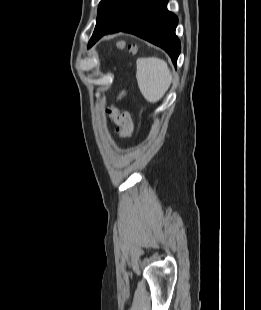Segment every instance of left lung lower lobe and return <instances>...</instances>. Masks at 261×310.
I'll return each instance as SVG.
<instances>
[{"mask_svg":"<svg viewBox=\"0 0 261 310\" xmlns=\"http://www.w3.org/2000/svg\"><path fill=\"white\" fill-rule=\"evenodd\" d=\"M168 0H122L107 24L96 25L89 47L103 35L119 31L135 34L161 48L176 65L180 41L175 35L177 17L167 10Z\"/></svg>","mask_w":261,"mask_h":310,"instance_id":"obj_1","label":"left lung lower lobe"}]
</instances>
